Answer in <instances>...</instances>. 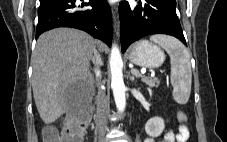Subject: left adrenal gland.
<instances>
[{"label": "left adrenal gland", "instance_id": "obj_1", "mask_svg": "<svg viewBox=\"0 0 227 142\" xmlns=\"http://www.w3.org/2000/svg\"><path fill=\"white\" fill-rule=\"evenodd\" d=\"M130 80H131L132 82H134V77H133V76H130Z\"/></svg>", "mask_w": 227, "mask_h": 142}]
</instances>
